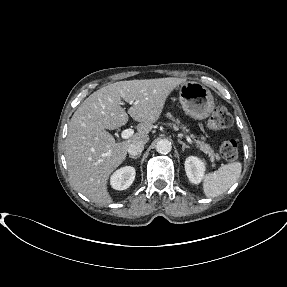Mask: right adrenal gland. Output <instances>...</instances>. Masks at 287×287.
<instances>
[{
	"mask_svg": "<svg viewBox=\"0 0 287 287\" xmlns=\"http://www.w3.org/2000/svg\"><path fill=\"white\" fill-rule=\"evenodd\" d=\"M140 156H141V154H139L138 156H129V158H131V159H138V158H140Z\"/></svg>",
	"mask_w": 287,
	"mask_h": 287,
	"instance_id": "right-adrenal-gland-1",
	"label": "right adrenal gland"
}]
</instances>
